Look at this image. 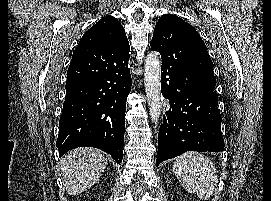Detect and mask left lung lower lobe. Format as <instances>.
<instances>
[{
	"label": "left lung lower lobe",
	"instance_id": "0a47b994",
	"mask_svg": "<svg viewBox=\"0 0 271 201\" xmlns=\"http://www.w3.org/2000/svg\"><path fill=\"white\" fill-rule=\"evenodd\" d=\"M154 50L161 54V90L169 100L159 129L156 165L191 150L222 151L218 96L200 82L183 36Z\"/></svg>",
	"mask_w": 271,
	"mask_h": 201
}]
</instances>
